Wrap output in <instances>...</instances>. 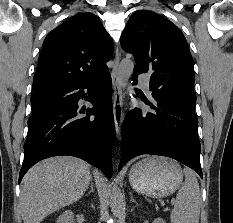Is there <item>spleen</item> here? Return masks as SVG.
Returning <instances> with one entry per match:
<instances>
[{"label":"spleen","instance_id":"spleen-1","mask_svg":"<svg viewBox=\"0 0 233 223\" xmlns=\"http://www.w3.org/2000/svg\"><path fill=\"white\" fill-rule=\"evenodd\" d=\"M186 179L177 193L171 223H199L201 193L194 171H185Z\"/></svg>","mask_w":233,"mask_h":223}]
</instances>
